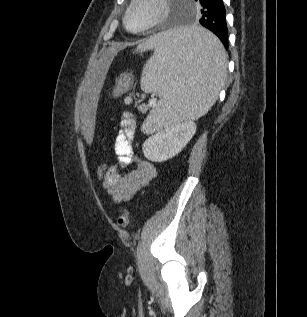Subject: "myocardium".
<instances>
[{
	"label": "myocardium",
	"instance_id": "f54148a6",
	"mask_svg": "<svg viewBox=\"0 0 307 317\" xmlns=\"http://www.w3.org/2000/svg\"><path fill=\"white\" fill-rule=\"evenodd\" d=\"M142 2H149L153 4L156 8L155 15L150 21H148L142 27H139L137 29H132L130 28L128 23L129 15L135 6ZM169 11H170V5L168 0H131L123 14V18H122L123 25L127 29V31L131 33H135V34L143 33L159 25L168 16Z\"/></svg>",
	"mask_w": 307,
	"mask_h": 317
}]
</instances>
